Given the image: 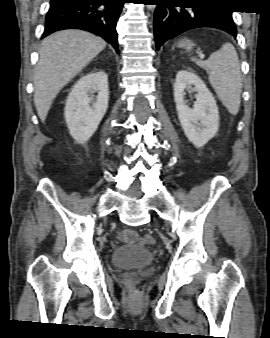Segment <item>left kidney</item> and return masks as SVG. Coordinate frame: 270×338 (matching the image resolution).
<instances>
[{
    "mask_svg": "<svg viewBox=\"0 0 270 338\" xmlns=\"http://www.w3.org/2000/svg\"><path fill=\"white\" fill-rule=\"evenodd\" d=\"M190 89L197 92L192 109L184 101L185 90ZM174 101L186 137L196 147L204 146L219 128L218 107L212 93L192 70H180L174 84Z\"/></svg>",
    "mask_w": 270,
    "mask_h": 338,
    "instance_id": "obj_1",
    "label": "left kidney"
}]
</instances>
